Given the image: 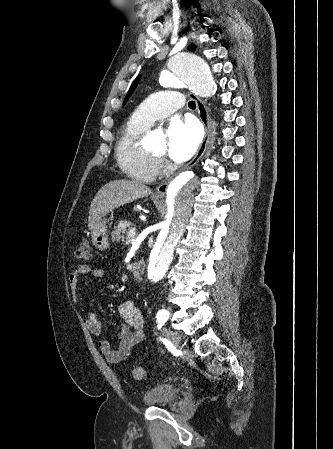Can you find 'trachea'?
I'll return each instance as SVG.
<instances>
[{
  "mask_svg": "<svg viewBox=\"0 0 333 449\" xmlns=\"http://www.w3.org/2000/svg\"><path fill=\"white\" fill-rule=\"evenodd\" d=\"M188 106H189V108H191V109H195V107H196L195 101H190V102L188 103Z\"/></svg>",
  "mask_w": 333,
  "mask_h": 449,
  "instance_id": "1",
  "label": "trachea"
}]
</instances>
